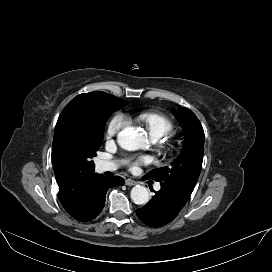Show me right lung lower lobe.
<instances>
[{
  "label": "right lung lower lobe",
  "mask_w": 272,
  "mask_h": 272,
  "mask_svg": "<svg viewBox=\"0 0 272 272\" xmlns=\"http://www.w3.org/2000/svg\"><path fill=\"white\" fill-rule=\"evenodd\" d=\"M124 180L119 176L113 178L97 175L91 184L81 206L70 215L81 222H87L96 218L105 206L106 192L109 188L123 185Z\"/></svg>",
  "instance_id": "obj_1"
}]
</instances>
